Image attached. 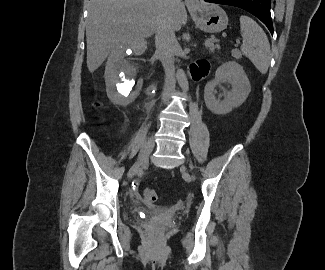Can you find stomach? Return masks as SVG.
<instances>
[{
    "mask_svg": "<svg viewBox=\"0 0 325 270\" xmlns=\"http://www.w3.org/2000/svg\"><path fill=\"white\" fill-rule=\"evenodd\" d=\"M190 14L196 26L204 32H220L228 25L225 11L217 5L199 4L190 10Z\"/></svg>",
    "mask_w": 325,
    "mask_h": 270,
    "instance_id": "obj_1",
    "label": "stomach"
}]
</instances>
